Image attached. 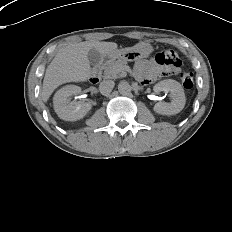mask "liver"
<instances>
[{"mask_svg":"<svg viewBox=\"0 0 232 232\" xmlns=\"http://www.w3.org/2000/svg\"><path fill=\"white\" fill-rule=\"evenodd\" d=\"M96 49L101 56L107 57L117 52L115 42L85 41L68 44L59 49L48 65L41 92V98L47 102L54 90L68 82H84L90 76L91 66L87 54Z\"/></svg>","mask_w":232,"mask_h":232,"instance_id":"6515ba94","label":"liver"}]
</instances>
